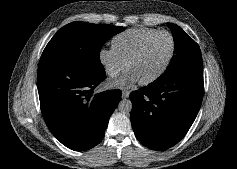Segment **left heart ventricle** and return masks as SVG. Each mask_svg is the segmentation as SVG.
<instances>
[{"label":"left heart ventricle","mask_w":237,"mask_h":169,"mask_svg":"<svg viewBox=\"0 0 237 169\" xmlns=\"http://www.w3.org/2000/svg\"><path fill=\"white\" fill-rule=\"evenodd\" d=\"M171 50L169 36L155 37L129 67L138 80H144L157 73L165 64Z\"/></svg>","instance_id":"1"}]
</instances>
